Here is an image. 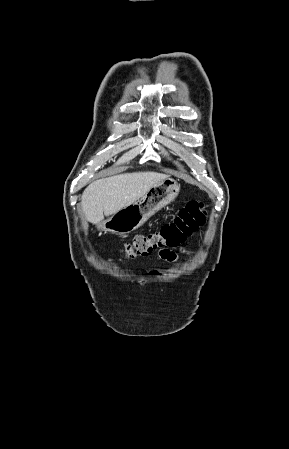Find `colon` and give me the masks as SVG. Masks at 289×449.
<instances>
[{
  "instance_id": "1",
  "label": "colon",
  "mask_w": 289,
  "mask_h": 449,
  "mask_svg": "<svg viewBox=\"0 0 289 449\" xmlns=\"http://www.w3.org/2000/svg\"><path fill=\"white\" fill-rule=\"evenodd\" d=\"M205 220L206 212L203 204L190 201L179 211L174 220L166 223L156 232L135 236L131 242L125 243L120 251L125 257L131 258L149 255L158 249L177 247L202 226ZM151 273L156 277L160 272L155 268Z\"/></svg>"
}]
</instances>
